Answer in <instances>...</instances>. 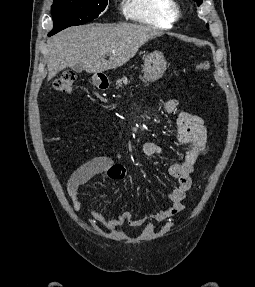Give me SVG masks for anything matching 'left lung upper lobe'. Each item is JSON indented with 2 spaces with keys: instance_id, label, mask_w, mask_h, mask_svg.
Listing matches in <instances>:
<instances>
[{
  "instance_id": "left-lung-upper-lobe-1",
  "label": "left lung upper lobe",
  "mask_w": 255,
  "mask_h": 287,
  "mask_svg": "<svg viewBox=\"0 0 255 287\" xmlns=\"http://www.w3.org/2000/svg\"><path fill=\"white\" fill-rule=\"evenodd\" d=\"M196 3H197V5L199 6L201 3H202V1L203 0H194ZM206 26L208 27V24H206Z\"/></svg>"
}]
</instances>
